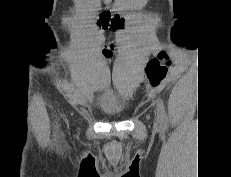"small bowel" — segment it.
Returning a JSON list of instances; mask_svg holds the SVG:
<instances>
[{
    "instance_id": "small-bowel-1",
    "label": "small bowel",
    "mask_w": 231,
    "mask_h": 177,
    "mask_svg": "<svg viewBox=\"0 0 231 177\" xmlns=\"http://www.w3.org/2000/svg\"><path fill=\"white\" fill-rule=\"evenodd\" d=\"M107 17H108V16H107ZM102 18H103V16L101 17L99 23L103 26V24H102ZM108 18H109V17H108Z\"/></svg>"
}]
</instances>
